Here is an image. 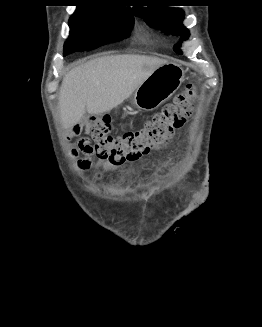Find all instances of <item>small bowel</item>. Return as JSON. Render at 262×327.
I'll list each match as a JSON object with an SVG mask.
<instances>
[{"label": "small bowel", "instance_id": "obj_1", "mask_svg": "<svg viewBox=\"0 0 262 327\" xmlns=\"http://www.w3.org/2000/svg\"><path fill=\"white\" fill-rule=\"evenodd\" d=\"M82 130V125L81 124H75L71 130H70V133H69V137L73 136V135H78L80 134ZM166 146V143L156 147V151H159V150H162L164 149ZM80 153V149L79 148H75V149H72L71 150V156L72 157H77ZM87 157L84 158V159H79L77 164H78V167L81 169V170H87L91 167V159H90V156L89 155H86ZM97 167L101 170V171H111V170H114L115 169V166L111 165L110 163L106 162V161H103V160H100L98 159L97 161ZM101 175L99 174L98 175V178H100ZM201 194L204 192L202 189L199 191Z\"/></svg>", "mask_w": 262, "mask_h": 327}]
</instances>
